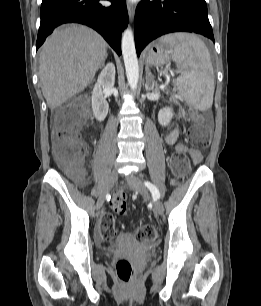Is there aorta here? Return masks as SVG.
Segmentation results:
<instances>
[{"instance_id": "762f6f07", "label": "aorta", "mask_w": 261, "mask_h": 306, "mask_svg": "<svg viewBox=\"0 0 261 306\" xmlns=\"http://www.w3.org/2000/svg\"><path fill=\"white\" fill-rule=\"evenodd\" d=\"M121 49L128 84L132 90H135L139 80V66L134 43V35L129 27L123 32Z\"/></svg>"}]
</instances>
